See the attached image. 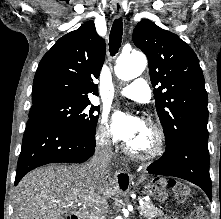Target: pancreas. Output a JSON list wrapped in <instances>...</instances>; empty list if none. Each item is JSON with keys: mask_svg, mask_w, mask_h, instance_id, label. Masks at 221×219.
Masks as SVG:
<instances>
[{"mask_svg": "<svg viewBox=\"0 0 221 219\" xmlns=\"http://www.w3.org/2000/svg\"><path fill=\"white\" fill-rule=\"evenodd\" d=\"M140 215L146 219H155L159 217L163 219L164 212L156 208L151 202H144L143 205H141Z\"/></svg>", "mask_w": 221, "mask_h": 219, "instance_id": "1", "label": "pancreas"}]
</instances>
